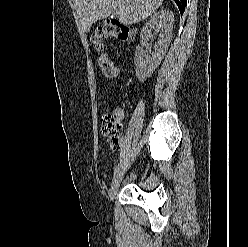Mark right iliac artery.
<instances>
[{
    "label": "right iliac artery",
    "instance_id": "right-iliac-artery-1",
    "mask_svg": "<svg viewBox=\"0 0 248 247\" xmlns=\"http://www.w3.org/2000/svg\"><path fill=\"white\" fill-rule=\"evenodd\" d=\"M120 167H121V162L118 163V165L116 166V168H115V170H114L113 180H114V178L116 177V175L119 173Z\"/></svg>",
    "mask_w": 248,
    "mask_h": 247
}]
</instances>
